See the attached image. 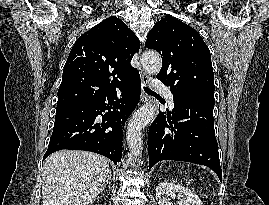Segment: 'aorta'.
I'll list each match as a JSON object with an SVG mask.
<instances>
[{"label":"aorta","instance_id":"1","mask_svg":"<svg viewBox=\"0 0 269 205\" xmlns=\"http://www.w3.org/2000/svg\"><path fill=\"white\" fill-rule=\"evenodd\" d=\"M141 63L144 70L149 74H158L162 67V60L160 55L154 51H147L143 53ZM156 107L154 104H147L142 106L134 113L127 128V144L132 155L136 158L141 156L142 150V130L152 121Z\"/></svg>","mask_w":269,"mask_h":205}]
</instances>
